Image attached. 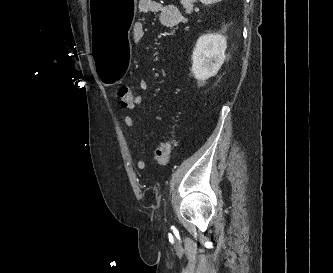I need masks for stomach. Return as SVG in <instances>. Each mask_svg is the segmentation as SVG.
Here are the masks:
<instances>
[{"instance_id":"obj_1","label":"stomach","mask_w":333,"mask_h":273,"mask_svg":"<svg viewBox=\"0 0 333 273\" xmlns=\"http://www.w3.org/2000/svg\"><path fill=\"white\" fill-rule=\"evenodd\" d=\"M91 41L97 81L110 85L124 81L130 70L129 32L135 19L136 0H89Z\"/></svg>"}]
</instances>
